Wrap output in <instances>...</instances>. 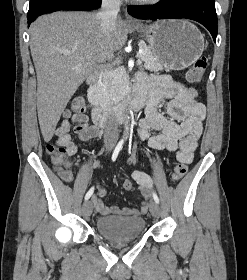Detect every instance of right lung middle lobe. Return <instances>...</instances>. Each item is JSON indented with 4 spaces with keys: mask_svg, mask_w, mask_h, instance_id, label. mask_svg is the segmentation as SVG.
Wrapping results in <instances>:
<instances>
[{
    "mask_svg": "<svg viewBox=\"0 0 247 280\" xmlns=\"http://www.w3.org/2000/svg\"><path fill=\"white\" fill-rule=\"evenodd\" d=\"M39 0H30V5H34L35 3H37Z\"/></svg>",
    "mask_w": 247,
    "mask_h": 280,
    "instance_id": "1",
    "label": "right lung middle lobe"
}]
</instances>
